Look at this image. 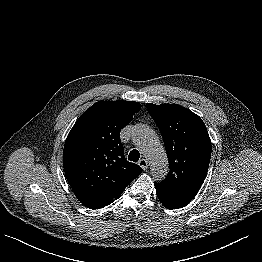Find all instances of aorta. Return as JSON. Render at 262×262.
Here are the masks:
<instances>
[{
	"label": "aorta",
	"mask_w": 262,
	"mask_h": 262,
	"mask_svg": "<svg viewBox=\"0 0 262 262\" xmlns=\"http://www.w3.org/2000/svg\"><path fill=\"white\" fill-rule=\"evenodd\" d=\"M132 138L148 159L153 179L163 180L168 173V159L153 129L147 125L138 124L133 130Z\"/></svg>",
	"instance_id": "obj_1"
}]
</instances>
